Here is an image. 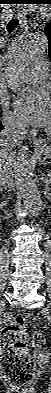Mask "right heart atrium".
<instances>
[{
  "instance_id": "obj_1",
  "label": "right heart atrium",
  "mask_w": 51,
  "mask_h": 393,
  "mask_svg": "<svg viewBox=\"0 0 51 393\" xmlns=\"http://www.w3.org/2000/svg\"><path fill=\"white\" fill-rule=\"evenodd\" d=\"M3 121L6 128L13 132L24 133L27 129L23 121L13 112H11L8 108L4 109Z\"/></svg>"
}]
</instances>
